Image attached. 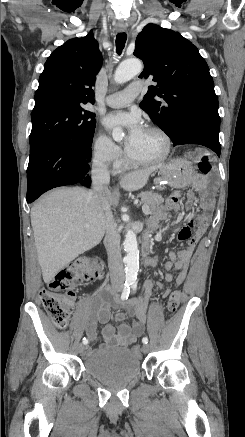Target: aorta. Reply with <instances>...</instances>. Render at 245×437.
<instances>
[{"label":"aorta","mask_w":245,"mask_h":437,"mask_svg":"<svg viewBox=\"0 0 245 437\" xmlns=\"http://www.w3.org/2000/svg\"><path fill=\"white\" fill-rule=\"evenodd\" d=\"M143 69V65L138 59H130L122 62L114 74L116 83H125L138 75ZM124 133L121 129H114L112 136L114 140H121ZM123 247L126 252L124 262L126 264L125 277L127 282H134L137 278L139 269V250L136 234L131 230H127Z\"/></svg>","instance_id":"762f6f07"}]
</instances>
